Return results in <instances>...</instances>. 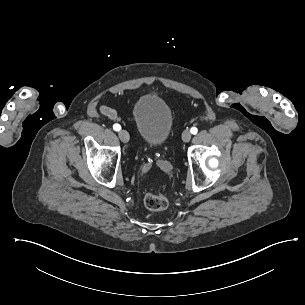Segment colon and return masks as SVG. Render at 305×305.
<instances>
[{
    "instance_id": "1",
    "label": "colon",
    "mask_w": 305,
    "mask_h": 305,
    "mask_svg": "<svg viewBox=\"0 0 305 305\" xmlns=\"http://www.w3.org/2000/svg\"><path fill=\"white\" fill-rule=\"evenodd\" d=\"M144 204L152 211H161L167 207L168 199L162 193L149 192L144 196Z\"/></svg>"
}]
</instances>
